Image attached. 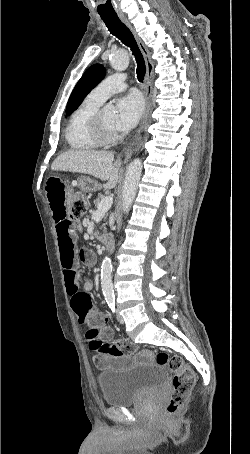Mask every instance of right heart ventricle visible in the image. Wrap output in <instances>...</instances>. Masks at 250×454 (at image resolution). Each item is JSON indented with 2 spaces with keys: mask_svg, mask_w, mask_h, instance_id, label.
Segmentation results:
<instances>
[{
  "mask_svg": "<svg viewBox=\"0 0 250 454\" xmlns=\"http://www.w3.org/2000/svg\"><path fill=\"white\" fill-rule=\"evenodd\" d=\"M101 104L87 97L71 114L65 130V138L70 149L93 150L101 144L90 130V119Z\"/></svg>",
  "mask_w": 250,
  "mask_h": 454,
  "instance_id": "obj_1",
  "label": "right heart ventricle"
}]
</instances>
